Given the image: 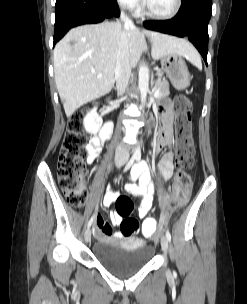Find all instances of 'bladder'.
<instances>
[{"label":"bladder","mask_w":247,"mask_h":304,"mask_svg":"<svg viewBox=\"0 0 247 304\" xmlns=\"http://www.w3.org/2000/svg\"><path fill=\"white\" fill-rule=\"evenodd\" d=\"M93 254L98 263L115 274H128L144 268L152 260L155 249L132 239L102 240Z\"/></svg>","instance_id":"1"}]
</instances>
